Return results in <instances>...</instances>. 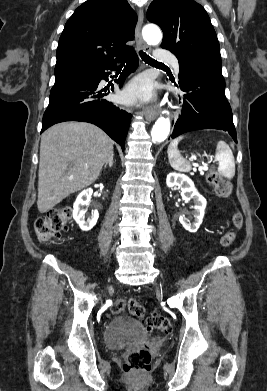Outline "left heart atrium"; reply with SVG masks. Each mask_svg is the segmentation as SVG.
Masks as SVG:
<instances>
[{"instance_id": "obj_1", "label": "left heart atrium", "mask_w": 267, "mask_h": 391, "mask_svg": "<svg viewBox=\"0 0 267 391\" xmlns=\"http://www.w3.org/2000/svg\"><path fill=\"white\" fill-rule=\"evenodd\" d=\"M153 96L151 81L146 77H139L134 80L124 92V99L128 102L134 100L147 101Z\"/></svg>"}]
</instances>
